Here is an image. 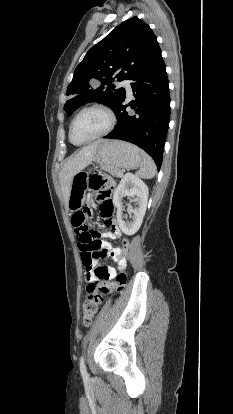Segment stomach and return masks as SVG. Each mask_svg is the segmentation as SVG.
<instances>
[{
  "instance_id": "0dacf381",
  "label": "stomach",
  "mask_w": 233,
  "mask_h": 414,
  "mask_svg": "<svg viewBox=\"0 0 233 414\" xmlns=\"http://www.w3.org/2000/svg\"><path fill=\"white\" fill-rule=\"evenodd\" d=\"M93 161L106 171L136 169L143 163L142 151L122 141H99ZM88 172L85 169L74 174L71 183L68 207L73 210L82 205L86 193Z\"/></svg>"
}]
</instances>
